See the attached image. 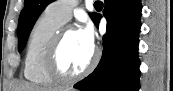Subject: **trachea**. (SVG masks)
<instances>
[{"mask_svg": "<svg viewBox=\"0 0 173 91\" xmlns=\"http://www.w3.org/2000/svg\"><path fill=\"white\" fill-rule=\"evenodd\" d=\"M94 6H95V7H103V3H102L101 1H96V2L94 3Z\"/></svg>", "mask_w": 173, "mask_h": 91, "instance_id": "1", "label": "trachea"}]
</instances>
